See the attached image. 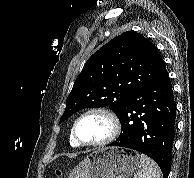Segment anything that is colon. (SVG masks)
Here are the masks:
<instances>
[{
    "label": "colon",
    "instance_id": "1",
    "mask_svg": "<svg viewBox=\"0 0 194 178\" xmlns=\"http://www.w3.org/2000/svg\"><path fill=\"white\" fill-rule=\"evenodd\" d=\"M56 178H60V171H56Z\"/></svg>",
    "mask_w": 194,
    "mask_h": 178
}]
</instances>
